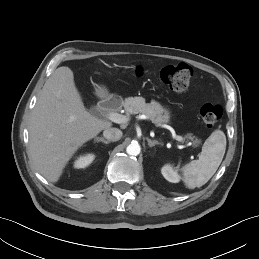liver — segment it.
<instances>
[{
  "label": "liver",
  "instance_id": "liver-1",
  "mask_svg": "<svg viewBox=\"0 0 259 259\" xmlns=\"http://www.w3.org/2000/svg\"><path fill=\"white\" fill-rule=\"evenodd\" d=\"M112 123L86 111L73 71L59 67L45 82L29 123V153L38 172L57 182L73 154Z\"/></svg>",
  "mask_w": 259,
  "mask_h": 259
}]
</instances>
